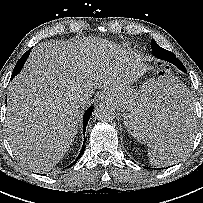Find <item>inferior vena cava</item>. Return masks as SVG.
<instances>
[{
  "label": "inferior vena cava",
  "mask_w": 203,
  "mask_h": 203,
  "mask_svg": "<svg viewBox=\"0 0 203 203\" xmlns=\"http://www.w3.org/2000/svg\"><path fill=\"white\" fill-rule=\"evenodd\" d=\"M84 102V99L83 98H80L79 99V103H83Z\"/></svg>",
  "instance_id": "1"
}]
</instances>
